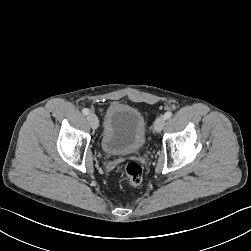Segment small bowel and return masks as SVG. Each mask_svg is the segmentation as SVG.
<instances>
[{"label": "small bowel", "mask_w": 251, "mask_h": 251, "mask_svg": "<svg viewBox=\"0 0 251 251\" xmlns=\"http://www.w3.org/2000/svg\"><path fill=\"white\" fill-rule=\"evenodd\" d=\"M79 105H80L81 107H86V106L88 105V100H87L86 98H81V99L79 100Z\"/></svg>", "instance_id": "1"}]
</instances>
